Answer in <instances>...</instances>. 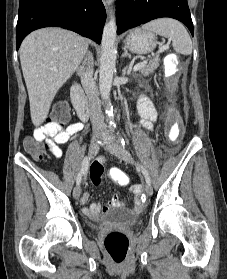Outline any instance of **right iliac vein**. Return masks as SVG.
I'll return each instance as SVG.
<instances>
[{
    "instance_id": "obj_1",
    "label": "right iliac vein",
    "mask_w": 227,
    "mask_h": 279,
    "mask_svg": "<svg viewBox=\"0 0 227 279\" xmlns=\"http://www.w3.org/2000/svg\"><path fill=\"white\" fill-rule=\"evenodd\" d=\"M98 150H99V144L96 141H92L88 149L89 158H94ZM80 194H81V189L79 186H76L73 190V197L75 199H78L80 197Z\"/></svg>"
}]
</instances>
